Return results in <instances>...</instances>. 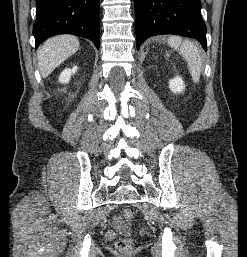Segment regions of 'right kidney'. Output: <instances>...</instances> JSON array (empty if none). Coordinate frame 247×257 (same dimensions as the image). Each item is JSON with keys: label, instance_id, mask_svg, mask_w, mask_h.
I'll list each match as a JSON object with an SVG mask.
<instances>
[{"label": "right kidney", "instance_id": "ca27d5eb", "mask_svg": "<svg viewBox=\"0 0 247 257\" xmlns=\"http://www.w3.org/2000/svg\"><path fill=\"white\" fill-rule=\"evenodd\" d=\"M77 69V66H74L72 69H64L59 76V82L64 84L68 83L71 76L77 72Z\"/></svg>", "mask_w": 247, "mask_h": 257}]
</instances>
